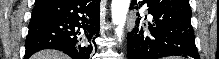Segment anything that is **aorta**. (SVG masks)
Wrapping results in <instances>:
<instances>
[{
  "label": "aorta",
  "instance_id": "aorta-1",
  "mask_svg": "<svg viewBox=\"0 0 219 59\" xmlns=\"http://www.w3.org/2000/svg\"><path fill=\"white\" fill-rule=\"evenodd\" d=\"M130 2V0H112L111 3L112 22L116 26L115 35L119 41L123 35Z\"/></svg>",
  "mask_w": 219,
  "mask_h": 59
}]
</instances>
